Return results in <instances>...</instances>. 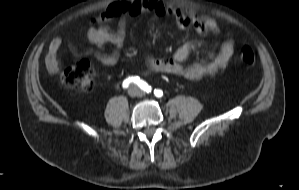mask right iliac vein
I'll list each match as a JSON object with an SVG mask.
<instances>
[{"instance_id":"1","label":"right iliac vein","mask_w":299,"mask_h":190,"mask_svg":"<svg viewBox=\"0 0 299 190\" xmlns=\"http://www.w3.org/2000/svg\"><path fill=\"white\" fill-rule=\"evenodd\" d=\"M137 94V89L136 88H131L130 90H129V95L130 96H134V95H136Z\"/></svg>"}]
</instances>
